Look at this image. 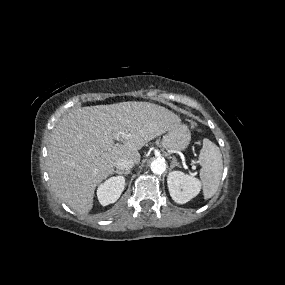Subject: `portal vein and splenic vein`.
I'll list each match as a JSON object with an SVG mask.
<instances>
[{
    "label": "portal vein and splenic vein",
    "instance_id": "1",
    "mask_svg": "<svg viewBox=\"0 0 285 285\" xmlns=\"http://www.w3.org/2000/svg\"><path fill=\"white\" fill-rule=\"evenodd\" d=\"M118 138H119V134H116L115 139H118Z\"/></svg>",
    "mask_w": 285,
    "mask_h": 285
}]
</instances>
